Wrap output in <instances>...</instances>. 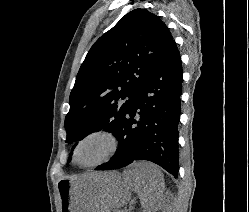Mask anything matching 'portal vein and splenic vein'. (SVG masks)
I'll return each mask as SVG.
<instances>
[{"label":"portal vein and splenic vein","instance_id":"portal-vein-and-splenic-vein-1","mask_svg":"<svg viewBox=\"0 0 249 212\" xmlns=\"http://www.w3.org/2000/svg\"><path fill=\"white\" fill-rule=\"evenodd\" d=\"M122 212H127V210H122Z\"/></svg>","mask_w":249,"mask_h":212}]
</instances>
